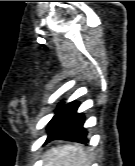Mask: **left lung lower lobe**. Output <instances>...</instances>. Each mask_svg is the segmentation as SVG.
<instances>
[{"label":"left lung lower lobe","mask_w":135,"mask_h":166,"mask_svg":"<svg viewBox=\"0 0 135 166\" xmlns=\"http://www.w3.org/2000/svg\"><path fill=\"white\" fill-rule=\"evenodd\" d=\"M79 102L73 101L68 104L61 102L52 120L47 126L48 138L46 142L54 139L74 141L82 144L89 142L87 130L83 127L85 117L77 113Z\"/></svg>","instance_id":"obj_1"}]
</instances>
